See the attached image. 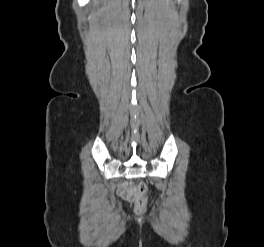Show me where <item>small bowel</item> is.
Here are the masks:
<instances>
[{
    "mask_svg": "<svg viewBox=\"0 0 264 247\" xmlns=\"http://www.w3.org/2000/svg\"><path fill=\"white\" fill-rule=\"evenodd\" d=\"M119 190L124 194L125 197H129L132 195V190L126 185H121Z\"/></svg>",
    "mask_w": 264,
    "mask_h": 247,
    "instance_id": "obj_1",
    "label": "small bowel"
}]
</instances>
